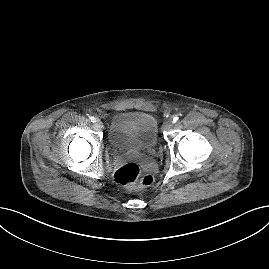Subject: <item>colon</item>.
<instances>
[{
    "mask_svg": "<svg viewBox=\"0 0 269 269\" xmlns=\"http://www.w3.org/2000/svg\"><path fill=\"white\" fill-rule=\"evenodd\" d=\"M114 179L116 183L129 190L148 187L154 181L152 175L144 173L134 162L119 165L114 172Z\"/></svg>",
    "mask_w": 269,
    "mask_h": 269,
    "instance_id": "obj_1",
    "label": "colon"
}]
</instances>
